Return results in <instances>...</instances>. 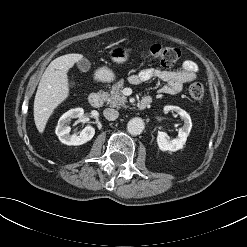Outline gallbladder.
Segmentation results:
<instances>
[{
    "label": "gallbladder",
    "mask_w": 247,
    "mask_h": 247,
    "mask_svg": "<svg viewBox=\"0 0 247 247\" xmlns=\"http://www.w3.org/2000/svg\"><path fill=\"white\" fill-rule=\"evenodd\" d=\"M77 67L81 72H87L91 67V63L88 59L83 58L77 63Z\"/></svg>",
    "instance_id": "obj_1"
}]
</instances>
